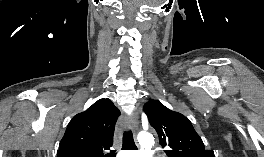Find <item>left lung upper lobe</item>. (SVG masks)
Listing matches in <instances>:
<instances>
[{"mask_svg": "<svg viewBox=\"0 0 264 157\" xmlns=\"http://www.w3.org/2000/svg\"><path fill=\"white\" fill-rule=\"evenodd\" d=\"M144 112L158 133L160 145L170 148L165 150L168 157H215L213 150L204 148L201 137L184 115L156 100L147 102Z\"/></svg>", "mask_w": 264, "mask_h": 157, "instance_id": "left-lung-upper-lobe-1", "label": "left lung upper lobe"}]
</instances>
